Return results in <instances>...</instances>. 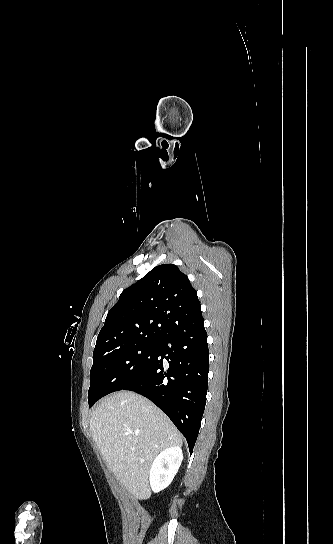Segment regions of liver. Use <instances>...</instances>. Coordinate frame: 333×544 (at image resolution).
<instances>
[{
    "instance_id": "6515ba94",
    "label": "liver",
    "mask_w": 333,
    "mask_h": 544,
    "mask_svg": "<svg viewBox=\"0 0 333 544\" xmlns=\"http://www.w3.org/2000/svg\"><path fill=\"white\" fill-rule=\"evenodd\" d=\"M90 430L108 467L138 499L150 496L148 475L155 457L183 442L169 418L133 392H117L102 400L92 413Z\"/></svg>"
}]
</instances>
